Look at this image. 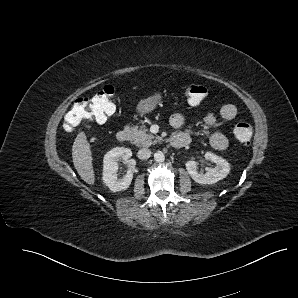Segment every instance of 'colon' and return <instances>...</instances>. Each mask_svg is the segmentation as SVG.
Returning <instances> with one entry per match:
<instances>
[{
	"label": "colon",
	"instance_id": "obj_1",
	"mask_svg": "<svg viewBox=\"0 0 298 298\" xmlns=\"http://www.w3.org/2000/svg\"><path fill=\"white\" fill-rule=\"evenodd\" d=\"M183 94L190 104L197 105L206 99L208 91L201 85L188 84L183 87ZM114 95V88L107 85L91 97L77 98L65 115V127L72 130L84 121H106L115 111ZM233 132L241 143H249L253 135L247 122H238Z\"/></svg>",
	"mask_w": 298,
	"mask_h": 298
}]
</instances>
